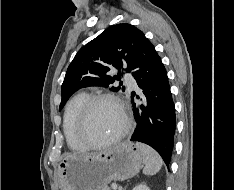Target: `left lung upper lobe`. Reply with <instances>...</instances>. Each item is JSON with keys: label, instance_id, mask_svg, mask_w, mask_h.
<instances>
[{"label": "left lung upper lobe", "instance_id": "left-lung-upper-lobe-1", "mask_svg": "<svg viewBox=\"0 0 234 190\" xmlns=\"http://www.w3.org/2000/svg\"><path fill=\"white\" fill-rule=\"evenodd\" d=\"M145 38L144 33L133 25L122 23L104 30L81 48L67 69L61 88L59 110L70 96L82 87H108L115 79L120 80V73L117 76L110 74L113 67L118 70L127 67L128 72L133 71L140 44ZM111 89L118 91L120 87Z\"/></svg>", "mask_w": 234, "mask_h": 190}]
</instances>
